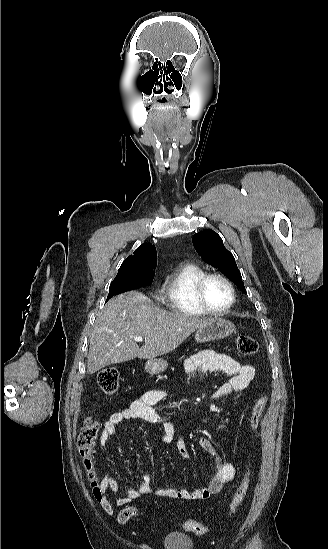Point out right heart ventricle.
<instances>
[{"label": "right heart ventricle", "instance_id": "e07e8e85", "mask_svg": "<svg viewBox=\"0 0 328 549\" xmlns=\"http://www.w3.org/2000/svg\"><path fill=\"white\" fill-rule=\"evenodd\" d=\"M205 273L206 266L198 261L175 268L156 294V303H174V310H180V319H205L194 308L198 304L195 287Z\"/></svg>", "mask_w": 328, "mask_h": 549}]
</instances>
